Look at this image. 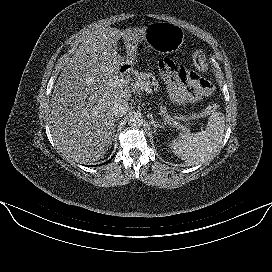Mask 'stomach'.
I'll return each mask as SVG.
<instances>
[{"label":"stomach","instance_id":"0dacf381","mask_svg":"<svg viewBox=\"0 0 272 272\" xmlns=\"http://www.w3.org/2000/svg\"><path fill=\"white\" fill-rule=\"evenodd\" d=\"M184 31L170 22H153L146 27L145 40L139 43V50L147 45L159 54L174 53L184 41Z\"/></svg>","mask_w":272,"mask_h":272}]
</instances>
